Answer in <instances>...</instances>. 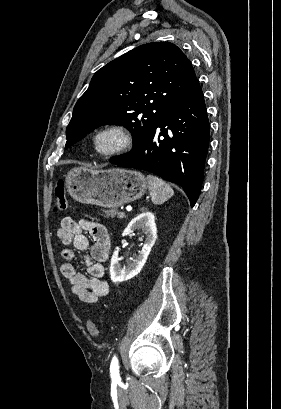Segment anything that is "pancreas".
I'll use <instances>...</instances> for the list:
<instances>
[{
  "mask_svg": "<svg viewBox=\"0 0 281 409\" xmlns=\"http://www.w3.org/2000/svg\"><path fill=\"white\" fill-rule=\"evenodd\" d=\"M104 213H106V217H114V215H118L119 217L117 209H111V211H104Z\"/></svg>",
  "mask_w": 281,
  "mask_h": 409,
  "instance_id": "obj_1",
  "label": "pancreas"
}]
</instances>
